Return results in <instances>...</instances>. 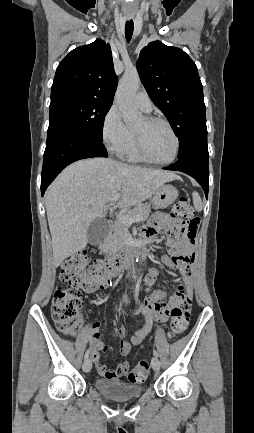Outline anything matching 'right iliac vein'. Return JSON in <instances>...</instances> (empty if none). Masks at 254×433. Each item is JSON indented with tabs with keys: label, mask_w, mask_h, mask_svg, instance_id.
Listing matches in <instances>:
<instances>
[{
	"label": "right iliac vein",
	"mask_w": 254,
	"mask_h": 433,
	"mask_svg": "<svg viewBox=\"0 0 254 433\" xmlns=\"http://www.w3.org/2000/svg\"><path fill=\"white\" fill-rule=\"evenodd\" d=\"M91 368H92V362H91V360L90 359H86L84 361L83 365H82L83 371L86 372V373L90 372Z\"/></svg>",
	"instance_id": "1"
}]
</instances>
